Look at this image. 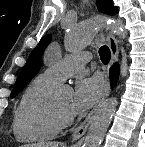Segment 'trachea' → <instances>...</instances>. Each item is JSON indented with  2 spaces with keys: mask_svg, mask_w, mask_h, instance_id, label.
Here are the masks:
<instances>
[{
  "mask_svg": "<svg viewBox=\"0 0 145 147\" xmlns=\"http://www.w3.org/2000/svg\"><path fill=\"white\" fill-rule=\"evenodd\" d=\"M99 55H100L101 61L104 64H108L110 57H111V52H110V49L107 46L100 47Z\"/></svg>",
  "mask_w": 145,
  "mask_h": 147,
  "instance_id": "trachea-1",
  "label": "trachea"
}]
</instances>
